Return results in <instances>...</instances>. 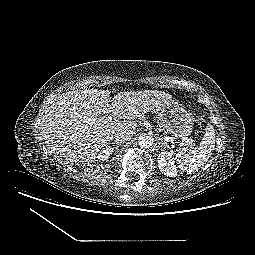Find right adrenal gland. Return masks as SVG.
<instances>
[{
	"instance_id": "1",
	"label": "right adrenal gland",
	"mask_w": 255,
	"mask_h": 255,
	"mask_svg": "<svg viewBox=\"0 0 255 255\" xmlns=\"http://www.w3.org/2000/svg\"><path fill=\"white\" fill-rule=\"evenodd\" d=\"M113 146H117V148L122 144V142H119V141H112Z\"/></svg>"
}]
</instances>
